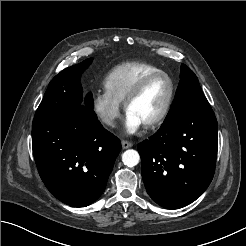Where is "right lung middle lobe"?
<instances>
[{"label":"right lung middle lobe","mask_w":246,"mask_h":246,"mask_svg":"<svg viewBox=\"0 0 246 246\" xmlns=\"http://www.w3.org/2000/svg\"><path fill=\"white\" fill-rule=\"evenodd\" d=\"M92 58L64 69L49 83L34 119L63 118L73 114L80 107L93 110L92 94L83 97L80 77L90 65Z\"/></svg>","instance_id":"dd1d6c3e"}]
</instances>
